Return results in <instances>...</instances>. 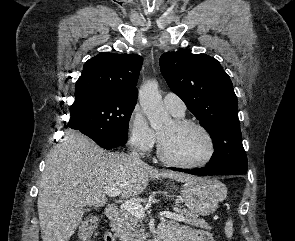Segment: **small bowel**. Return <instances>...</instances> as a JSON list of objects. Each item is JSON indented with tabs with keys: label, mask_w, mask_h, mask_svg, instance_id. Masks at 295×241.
<instances>
[{
	"label": "small bowel",
	"mask_w": 295,
	"mask_h": 241,
	"mask_svg": "<svg viewBox=\"0 0 295 241\" xmlns=\"http://www.w3.org/2000/svg\"><path fill=\"white\" fill-rule=\"evenodd\" d=\"M159 233L168 235L171 241H212L207 232L174 222L162 224ZM105 241H115V239L112 234H107Z\"/></svg>",
	"instance_id": "c3829d8e"
}]
</instances>
